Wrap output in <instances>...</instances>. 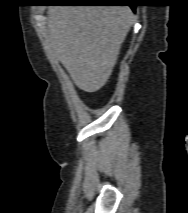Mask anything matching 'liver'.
I'll return each mask as SVG.
<instances>
[{"instance_id": "1", "label": "liver", "mask_w": 188, "mask_h": 213, "mask_svg": "<svg viewBox=\"0 0 188 213\" xmlns=\"http://www.w3.org/2000/svg\"><path fill=\"white\" fill-rule=\"evenodd\" d=\"M49 45L75 85L96 92L108 81L135 21L128 6H54L48 10Z\"/></svg>"}]
</instances>
